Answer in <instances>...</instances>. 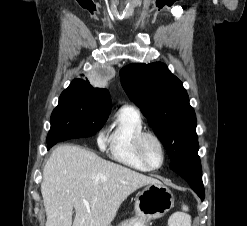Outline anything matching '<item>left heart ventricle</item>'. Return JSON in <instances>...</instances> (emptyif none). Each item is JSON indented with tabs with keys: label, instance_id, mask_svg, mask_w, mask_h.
Returning <instances> with one entry per match:
<instances>
[{
	"label": "left heart ventricle",
	"instance_id": "obj_1",
	"mask_svg": "<svg viewBox=\"0 0 247 226\" xmlns=\"http://www.w3.org/2000/svg\"><path fill=\"white\" fill-rule=\"evenodd\" d=\"M144 153L152 165H159L161 162V151L155 140L147 138L143 145Z\"/></svg>",
	"mask_w": 247,
	"mask_h": 226
}]
</instances>
